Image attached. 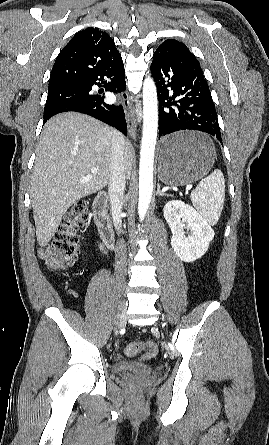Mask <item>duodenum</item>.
Instances as JSON below:
<instances>
[{
  "label": "duodenum",
  "instance_id": "obj_1",
  "mask_svg": "<svg viewBox=\"0 0 269 445\" xmlns=\"http://www.w3.org/2000/svg\"><path fill=\"white\" fill-rule=\"evenodd\" d=\"M107 201L108 194L105 191L96 195L93 202V216L103 243L107 248L112 249L115 244V234L107 215Z\"/></svg>",
  "mask_w": 269,
  "mask_h": 445
}]
</instances>
